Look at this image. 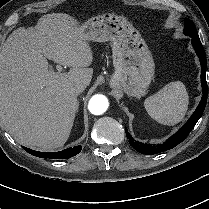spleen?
Wrapping results in <instances>:
<instances>
[{
	"mask_svg": "<svg viewBox=\"0 0 209 209\" xmlns=\"http://www.w3.org/2000/svg\"><path fill=\"white\" fill-rule=\"evenodd\" d=\"M188 105L189 96L181 81L166 84L144 102L148 114L164 125H175L181 122L187 113Z\"/></svg>",
	"mask_w": 209,
	"mask_h": 209,
	"instance_id": "spleen-1",
	"label": "spleen"
}]
</instances>
